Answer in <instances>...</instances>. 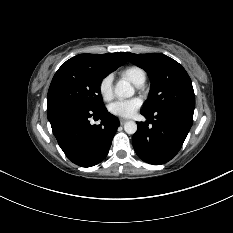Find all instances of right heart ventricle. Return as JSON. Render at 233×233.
I'll list each match as a JSON object with an SVG mask.
<instances>
[{"instance_id": "1", "label": "right heart ventricle", "mask_w": 233, "mask_h": 233, "mask_svg": "<svg viewBox=\"0 0 233 233\" xmlns=\"http://www.w3.org/2000/svg\"><path fill=\"white\" fill-rule=\"evenodd\" d=\"M121 75L128 79L136 86H141L146 80V73L143 68L139 66H128L121 71Z\"/></svg>"}]
</instances>
